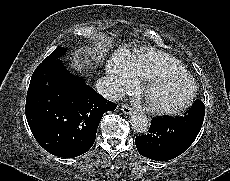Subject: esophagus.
Here are the masks:
<instances>
[{
    "mask_svg": "<svg viewBox=\"0 0 230 181\" xmlns=\"http://www.w3.org/2000/svg\"><path fill=\"white\" fill-rule=\"evenodd\" d=\"M121 110L126 115H129L132 112V108L128 104H123Z\"/></svg>",
    "mask_w": 230,
    "mask_h": 181,
    "instance_id": "34e87169",
    "label": "esophagus"
}]
</instances>
